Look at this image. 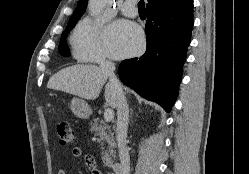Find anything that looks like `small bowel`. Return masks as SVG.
<instances>
[{
    "label": "small bowel",
    "instance_id": "obj_1",
    "mask_svg": "<svg viewBox=\"0 0 249 174\" xmlns=\"http://www.w3.org/2000/svg\"><path fill=\"white\" fill-rule=\"evenodd\" d=\"M82 155V150L79 147H74L71 149L68 158H78ZM84 162L88 167L91 174H102V172L97 168L96 160L92 155H85ZM57 174H66L64 169H59Z\"/></svg>",
    "mask_w": 249,
    "mask_h": 174
}]
</instances>
